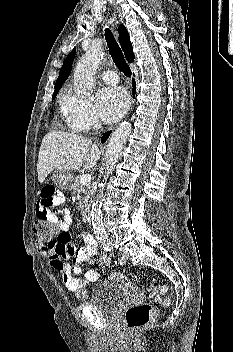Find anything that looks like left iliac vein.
<instances>
[{"label":"left iliac vein","instance_id":"1","mask_svg":"<svg viewBox=\"0 0 233 352\" xmlns=\"http://www.w3.org/2000/svg\"><path fill=\"white\" fill-rule=\"evenodd\" d=\"M122 257L124 258L125 261H127L129 259V257H130L129 252L123 251L122 252Z\"/></svg>","mask_w":233,"mask_h":352}]
</instances>
